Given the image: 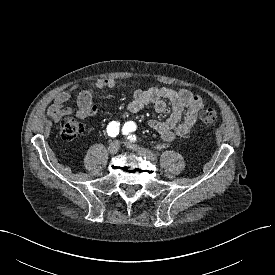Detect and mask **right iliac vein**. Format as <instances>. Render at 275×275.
Masks as SVG:
<instances>
[{
    "label": "right iliac vein",
    "mask_w": 275,
    "mask_h": 275,
    "mask_svg": "<svg viewBox=\"0 0 275 275\" xmlns=\"http://www.w3.org/2000/svg\"><path fill=\"white\" fill-rule=\"evenodd\" d=\"M120 144L118 141H113L109 144L108 152L112 155L116 154L119 150Z\"/></svg>",
    "instance_id": "obj_1"
}]
</instances>
